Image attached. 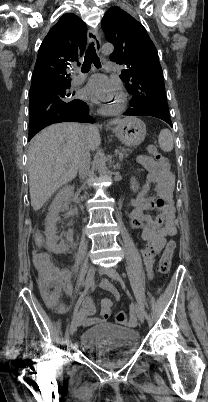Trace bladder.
<instances>
[{
    "label": "bladder",
    "mask_w": 208,
    "mask_h": 402,
    "mask_svg": "<svg viewBox=\"0 0 208 402\" xmlns=\"http://www.w3.org/2000/svg\"><path fill=\"white\" fill-rule=\"evenodd\" d=\"M138 331L113 323L94 324L84 330L81 347L91 351L95 363L117 366L139 345Z\"/></svg>",
    "instance_id": "bladder-1"
}]
</instances>
